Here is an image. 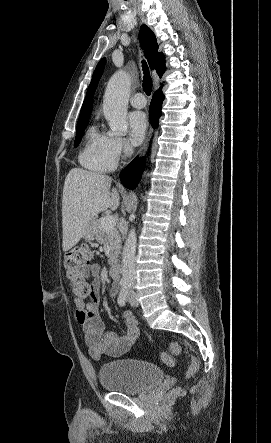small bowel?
<instances>
[{
	"instance_id": "small-bowel-1",
	"label": "small bowel",
	"mask_w": 271,
	"mask_h": 443,
	"mask_svg": "<svg viewBox=\"0 0 271 443\" xmlns=\"http://www.w3.org/2000/svg\"><path fill=\"white\" fill-rule=\"evenodd\" d=\"M85 278L92 279V295L90 306L83 300L75 297L77 307V320L80 323L85 343L89 348L90 355L99 359L103 355L119 357L125 354L137 341L139 330L135 316L129 312H123L126 324V332L123 335L105 333L104 325L99 318L97 305L100 299L102 268L98 263L85 267L82 271ZM118 287L113 285L110 290L111 297H116Z\"/></svg>"
}]
</instances>
